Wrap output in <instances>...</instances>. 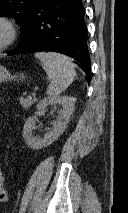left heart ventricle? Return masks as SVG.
Here are the masks:
<instances>
[{
    "label": "left heart ventricle",
    "mask_w": 128,
    "mask_h": 213,
    "mask_svg": "<svg viewBox=\"0 0 128 213\" xmlns=\"http://www.w3.org/2000/svg\"><path fill=\"white\" fill-rule=\"evenodd\" d=\"M6 37L7 30L2 24H0V45L5 41Z\"/></svg>",
    "instance_id": "obj_1"
}]
</instances>
